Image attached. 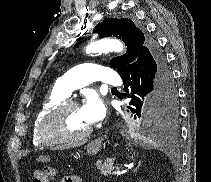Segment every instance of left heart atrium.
Wrapping results in <instances>:
<instances>
[{"label": "left heart atrium", "mask_w": 211, "mask_h": 182, "mask_svg": "<svg viewBox=\"0 0 211 182\" xmlns=\"http://www.w3.org/2000/svg\"><path fill=\"white\" fill-rule=\"evenodd\" d=\"M80 111L85 121L92 125L103 118L105 107L99 97L90 95L80 108Z\"/></svg>", "instance_id": "1"}]
</instances>
